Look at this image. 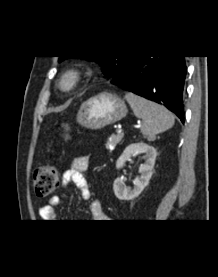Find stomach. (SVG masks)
Instances as JSON below:
<instances>
[{
	"label": "stomach",
	"instance_id": "1",
	"mask_svg": "<svg viewBox=\"0 0 218 277\" xmlns=\"http://www.w3.org/2000/svg\"><path fill=\"white\" fill-rule=\"evenodd\" d=\"M127 112V106L121 98L103 92L82 103L76 120L82 127L99 130L121 120Z\"/></svg>",
	"mask_w": 218,
	"mask_h": 277
}]
</instances>
